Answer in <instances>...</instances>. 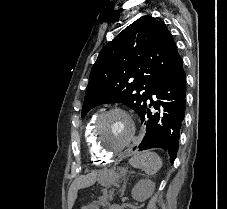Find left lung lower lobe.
<instances>
[{
    "instance_id": "0a47b994",
    "label": "left lung lower lobe",
    "mask_w": 227,
    "mask_h": 209,
    "mask_svg": "<svg viewBox=\"0 0 227 209\" xmlns=\"http://www.w3.org/2000/svg\"><path fill=\"white\" fill-rule=\"evenodd\" d=\"M153 95L156 101L151 98L140 115L141 122L147 125V133L136 149L163 148L173 163L179 147V130L186 104V76L181 57L164 74ZM151 107L157 110L162 107L163 112L152 113Z\"/></svg>"
}]
</instances>
